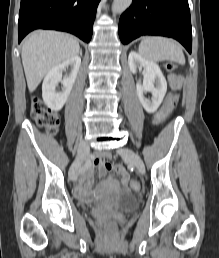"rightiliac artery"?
<instances>
[{
    "label": "right iliac artery",
    "mask_w": 219,
    "mask_h": 258,
    "mask_svg": "<svg viewBox=\"0 0 219 258\" xmlns=\"http://www.w3.org/2000/svg\"><path fill=\"white\" fill-rule=\"evenodd\" d=\"M91 166V161L90 159H88L85 164L83 165V167L79 170V173H83L85 171H87Z\"/></svg>",
    "instance_id": "right-iliac-artery-1"
}]
</instances>
